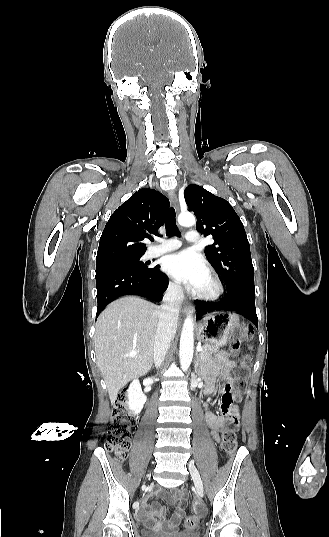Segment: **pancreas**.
I'll use <instances>...</instances> for the list:
<instances>
[{"label": "pancreas", "mask_w": 329, "mask_h": 537, "mask_svg": "<svg viewBox=\"0 0 329 537\" xmlns=\"http://www.w3.org/2000/svg\"><path fill=\"white\" fill-rule=\"evenodd\" d=\"M217 351V346L204 345L203 350L198 354V358L201 362L210 361L212 359V355Z\"/></svg>", "instance_id": "pancreas-1"}]
</instances>
